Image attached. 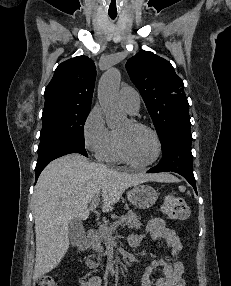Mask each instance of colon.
Instances as JSON below:
<instances>
[{
	"instance_id": "colon-1",
	"label": "colon",
	"mask_w": 231,
	"mask_h": 286,
	"mask_svg": "<svg viewBox=\"0 0 231 286\" xmlns=\"http://www.w3.org/2000/svg\"><path fill=\"white\" fill-rule=\"evenodd\" d=\"M162 208L165 215L174 220H187L191 216L189 206L176 195L166 196ZM34 286H58V284L53 277L45 275L37 279Z\"/></svg>"
}]
</instances>
